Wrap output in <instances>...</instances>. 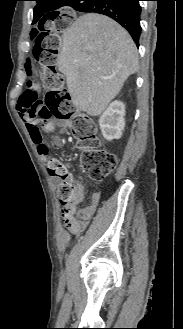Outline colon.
I'll list each match as a JSON object with an SVG mask.
<instances>
[{"instance_id":"obj_1","label":"colon","mask_w":183,"mask_h":329,"mask_svg":"<svg viewBox=\"0 0 183 329\" xmlns=\"http://www.w3.org/2000/svg\"><path fill=\"white\" fill-rule=\"evenodd\" d=\"M77 19V14L66 11L59 14H43L42 19H37V25H34V31L30 33L34 41L32 59L25 68L29 83L19 98L17 114H31L44 121L52 117L68 121L73 136L83 150L81 167L84 173L90 179L99 181L114 170L117 157L98 147L94 123L86 114L75 109L68 91L63 87L64 76L59 74L56 68L58 38H66L68 26H74ZM42 81L46 89L43 97L40 91ZM47 149V145L43 144L41 151L46 152ZM47 169L51 176L60 180L57 195L63 210L78 205L79 190L64 166L57 159L51 158L47 163Z\"/></svg>"}]
</instances>
